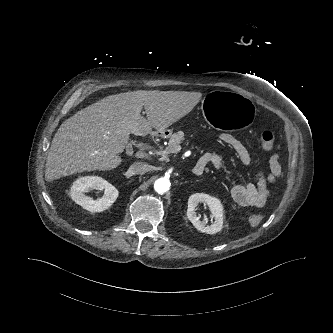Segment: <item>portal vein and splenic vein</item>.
Masks as SVG:
<instances>
[{"label":"portal vein and splenic vein","instance_id":"1","mask_svg":"<svg viewBox=\"0 0 333 333\" xmlns=\"http://www.w3.org/2000/svg\"><path fill=\"white\" fill-rule=\"evenodd\" d=\"M149 154H157V155H161L163 157H165L167 155L166 151H159V152H154L153 150H149L148 151Z\"/></svg>","mask_w":333,"mask_h":333}]
</instances>
